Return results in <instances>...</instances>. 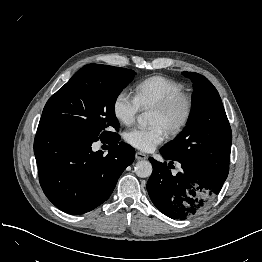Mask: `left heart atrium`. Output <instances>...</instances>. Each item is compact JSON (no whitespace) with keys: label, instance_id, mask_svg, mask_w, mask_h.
Instances as JSON below:
<instances>
[{"label":"left heart atrium","instance_id":"obj_1","mask_svg":"<svg viewBox=\"0 0 262 262\" xmlns=\"http://www.w3.org/2000/svg\"><path fill=\"white\" fill-rule=\"evenodd\" d=\"M166 137L167 130L161 124H155L150 127H134L127 130L124 134L127 143L142 151L153 150Z\"/></svg>","mask_w":262,"mask_h":262}]
</instances>
